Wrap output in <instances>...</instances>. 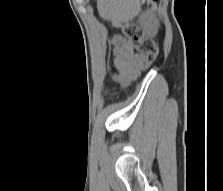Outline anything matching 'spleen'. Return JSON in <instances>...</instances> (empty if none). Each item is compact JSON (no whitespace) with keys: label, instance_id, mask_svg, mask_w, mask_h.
<instances>
[{"label":"spleen","instance_id":"obj_1","mask_svg":"<svg viewBox=\"0 0 223 191\" xmlns=\"http://www.w3.org/2000/svg\"><path fill=\"white\" fill-rule=\"evenodd\" d=\"M139 0H98L97 7L102 18L113 22L131 19L139 10Z\"/></svg>","mask_w":223,"mask_h":191}]
</instances>
